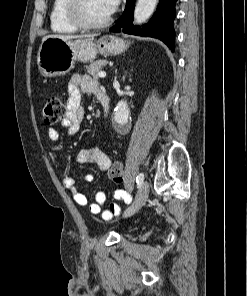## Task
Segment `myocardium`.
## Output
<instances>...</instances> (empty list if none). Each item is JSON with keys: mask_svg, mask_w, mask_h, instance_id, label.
<instances>
[{"mask_svg": "<svg viewBox=\"0 0 247 296\" xmlns=\"http://www.w3.org/2000/svg\"><path fill=\"white\" fill-rule=\"evenodd\" d=\"M84 0H68L66 6V16L70 23L78 29L82 30H96L109 26L112 22V16L99 23L87 22L82 15Z\"/></svg>", "mask_w": 247, "mask_h": 296, "instance_id": "obj_1", "label": "myocardium"}]
</instances>
